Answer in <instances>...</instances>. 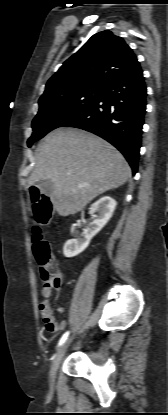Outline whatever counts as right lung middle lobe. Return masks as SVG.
Wrapping results in <instances>:
<instances>
[{
	"label": "right lung middle lobe",
	"mask_w": 168,
	"mask_h": 415,
	"mask_svg": "<svg viewBox=\"0 0 168 415\" xmlns=\"http://www.w3.org/2000/svg\"><path fill=\"white\" fill-rule=\"evenodd\" d=\"M102 93L103 89H85L40 103L39 112L32 122L33 133L28 139V147L89 107Z\"/></svg>",
	"instance_id": "1"
}]
</instances>
